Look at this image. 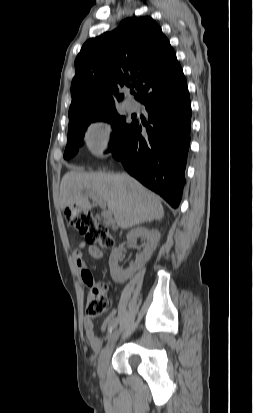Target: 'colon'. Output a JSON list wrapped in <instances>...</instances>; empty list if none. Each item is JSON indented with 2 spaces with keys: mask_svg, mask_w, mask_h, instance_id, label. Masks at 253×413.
<instances>
[{
  "mask_svg": "<svg viewBox=\"0 0 253 413\" xmlns=\"http://www.w3.org/2000/svg\"><path fill=\"white\" fill-rule=\"evenodd\" d=\"M65 218L68 224L85 236L89 244H98L104 248H110L114 244V238L108 228L98 222L90 213L77 208L69 207L65 210ZM105 284L89 285L86 312L90 317H96L107 311L109 300L106 296Z\"/></svg>",
  "mask_w": 253,
  "mask_h": 413,
  "instance_id": "5ec220e1",
  "label": "colon"
}]
</instances>
